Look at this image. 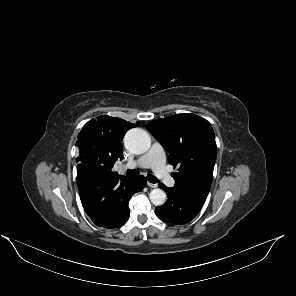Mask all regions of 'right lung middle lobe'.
Listing matches in <instances>:
<instances>
[{"label": "right lung middle lobe", "mask_w": 296, "mask_h": 296, "mask_svg": "<svg viewBox=\"0 0 296 296\" xmlns=\"http://www.w3.org/2000/svg\"><path fill=\"white\" fill-rule=\"evenodd\" d=\"M78 163H83L96 175L104 176L102 155L92 149H86L76 158Z\"/></svg>", "instance_id": "right-lung-middle-lobe-1"}]
</instances>
